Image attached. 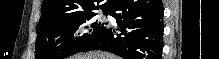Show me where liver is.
I'll use <instances>...</instances> for the list:
<instances>
[{
  "mask_svg": "<svg viewBox=\"0 0 219 59\" xmlns=\"http://www.w3.org/2000/svg\"><path fill=\"white\" fill-rule=\"evenodd\" d=\"M70 59H119L117 56L105 52H89L86 54H78Z\"/></svg>",
  "mask_w": 219,
  "mask_h": 59,
  "instance_id": "6515ba94",
  "label": "liver"
}]
</instances>
